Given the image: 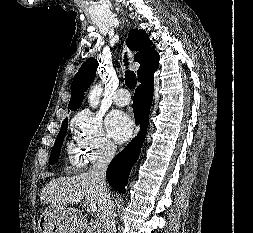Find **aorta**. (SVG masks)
Wrapping results in <instances>:
<instances>
[{"mask_svg": "<svg viewBox=\"0 0 253 233\" xmlns=\"http://www.w3.org/2000/svg\"><path fill=\"white\" fill-rule=\"evenodd\" d=\"M102 93V87H101V84H98V85H95L90 93H89V97H88V102H89V105L92 107V108H95L98 106L99 104V101H100V95Z\"/></svg>", "mask_w": 253, "mask_h": 233, "instance_id": "aorta-1", "label": "aorta"}]
</instances>
